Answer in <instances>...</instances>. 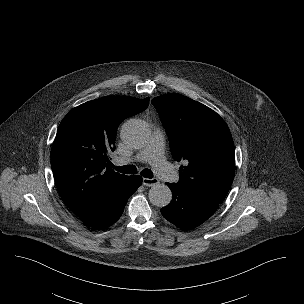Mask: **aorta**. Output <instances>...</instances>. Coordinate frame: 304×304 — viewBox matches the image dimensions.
Instances as JSON below:
<instances>
[{
    "label": "aorta",
    "mask_w": 304,
    "mask_h": 304,
    "mask_svg": "<svg viewBox=\"0 0 304 304\" xmlns=\"http://www.w3.org/2000/svg\"><path fill=\"white\" fill-rule=\"evenodd\" d=\"M148 136V127L141 120H129L121 129V138L123 142L131 148L142 147ZM149 200L157 207H165L172 200V192L165 184H155L149 190Z\"/></svg>",
    "instance_id": "aorta-1"
}]
</instances>
